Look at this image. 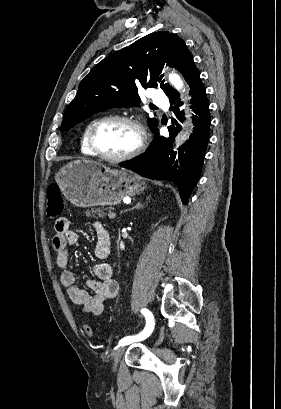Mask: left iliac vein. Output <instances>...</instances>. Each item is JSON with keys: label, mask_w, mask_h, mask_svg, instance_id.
I'll return each mask as SVG.
<instances>
[{"label": "left iliac vein", "mask_w": 281, "mask_h": 409, "mask_svg": "<svg viewBox=\"0 0 281 409\" xmlns=\"http://www.w3.org/2000/svg\"><path fill=\"white\" fill-rule=\"evenodd\" d=\"M125 349H126V346H120L114 352V364H113L114 369L117 368L118 363L125 352Z\"/></svg>", "instance_id": "4c4485c4"}]
</instances>
